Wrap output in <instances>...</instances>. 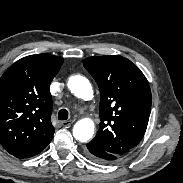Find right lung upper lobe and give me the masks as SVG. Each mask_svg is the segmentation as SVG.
<instances>
[{"instance_id": "cb5924a9", "label": "right lung upper lobe", "mask_w": 183, "mask_h": 183, "mask_svg": "<svg viewBox=\"0 0 183 183\" xmlns=\"http://www.w3.org/2000/svg\"><path fill=\"white\" fill-rule=\"evenodd\" d=\"M63 61L49 54L27 56L0 77V143L13 156H35L52 140L50 83Z\"/></svg>"}]
</instances>
